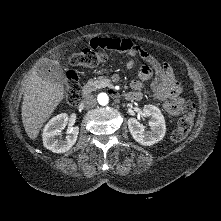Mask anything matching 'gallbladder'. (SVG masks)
I'll list each match as a JSON object with an SVG mask.
<instances>
[{"instance_id":"1","label":"gallbladder","mask_w":221,"mask_h":221,"mask_svg":"<svg viewBox=\"0 0 221 221\" xmlns=\"http://www.w3.org/2000/svg\"><path fill=\"white\" fill-rule=\"evenodd\" d=\"M38 75L44 80L54 83H59L62 85L66 84L67 82V78L64 71L56 65H54L50 69H46L41 66L40 69L38 70Z\"/></svg>"}]
</instances>
